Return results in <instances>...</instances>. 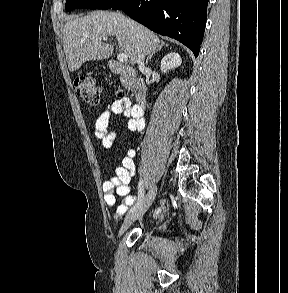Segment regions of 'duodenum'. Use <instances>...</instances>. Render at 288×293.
Here are the masks:
<instances>
[{"label":"duodenum","mask_w":288,"mask_h":293,"mask_svg":"<svg viewBox=\"0 0 288 293\" xmlns=\"http://www.w3.org/2000/svg\"><path fill=\"white\" fill-rule=\"evenodd\" d=\"M110 70L119 75L123 84H125L135 95L137 105L144 107L147 102V88L141 78H137L132 68L116 60H110Z\"/></svg>","instance_id":"410a0bca"}]
</instances>
